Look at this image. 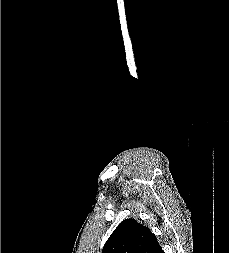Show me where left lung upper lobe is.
<instances>
[{
	"label": "left lung upper lobe",
	"mask_w": 229,
	"mask_h": 253,
	"mask_svg": "<svg viewBox=\"0 0 229 253\" xmlns=\"http://www.w3.org/2000/svg\"><path fill=\"white\" fill-rule=\"evenodd\" d=\"M159 247L148 227L135 219H126L113 231L102 253H155Z\"/></svg>",
	"instance_id": "5c2ea615"
}]
</instances>
